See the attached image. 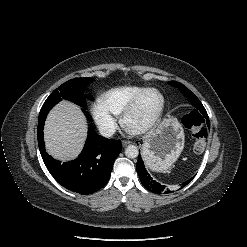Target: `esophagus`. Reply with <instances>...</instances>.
<instances>
[{"label":"esophagus","mask_w":247,"mask_h":247,"mask_svg":"<svg viewBox=\"0 0 247 247\" xmlns=\"http://www.w3.org/2000/svg\"><path fill=\"white\" fill-rule=\"evenodd\" d=\"M130 143H131V142H130V141H127V140H123V141H122L123 147L129 145Z\"/></svg>","instance_id":"34e87169"}]
</instances>
